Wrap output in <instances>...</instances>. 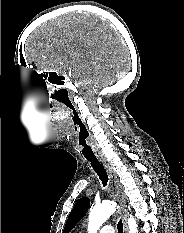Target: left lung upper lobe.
Returning <instances> with one entry per match:
<instances>
[{
  "label": "left lung upper lobe",
  "mask_w": 184,
  "mask_h": 233,
  "mask_svg": "<svg viewBox=\"0 0 184 233\" xmlns=\"http://www.w3.org/2000/svg\"><path fill=\"white\" fill-rule=\"evenodd\" d=\"M89 205L90 201L87 197L80 198L75 203L66 222L64 233H69V231L77 224V222L84 217L88 211Z\"/></svg>",
  "instance_id": "5c2ea615"
}]
</instances>
